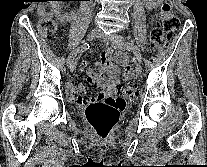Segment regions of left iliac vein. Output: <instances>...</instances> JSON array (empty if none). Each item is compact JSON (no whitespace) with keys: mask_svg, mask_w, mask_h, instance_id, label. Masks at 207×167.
<instances>
[{"mask_svg":"<svg viewBox=\"0 0 207 167\" xmlns=\"http://www.w3.org/2000/svg\"><path fill=\"white\" fill-rule=\"evenodd\" d=\"M103 37L108 41H110V43L115 49L124 48V45L127 43L125 38L119 34H111L109 36H103ZM135 71L137 74H141L142 66L140 62L135 63Z\"/></svg>","mask_w":207,"mask_h":167,"instance_id":"4c4485c4","label":"left iliac vein"}]
</instances>
